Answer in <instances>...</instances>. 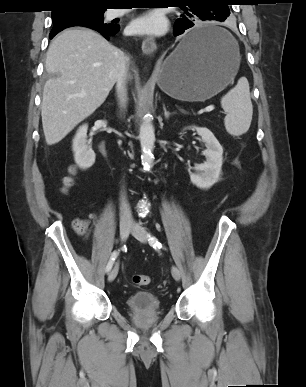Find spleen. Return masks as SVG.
Listing matches in <instances>:
<instances>
[{"mask_svg":"<svg viewBox=\"0 0 306 387\" xmlns=\"http://www.w3.org/2000/svg\"><path fill=\"white\" fill-rule=\"evenodd\" d=\"M221 106L226 113L224 125L227 132L233 136L246 133L251 125L253 106L245 77H241L237 85L222 97Z\"/></svg>","mask_w":306,"mask_h":387,"instance_id":"3e777b00","label":"spleen"}]
</instances>
